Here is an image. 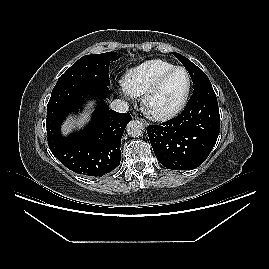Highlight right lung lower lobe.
<instances>
[{"instance_id": "98d812e1", "label": "right lung lower lobe", "mask_w": 269, "mask_h": 269, "mask_svg": "<svg viewBox=\"0 0 269 269\" xmlns=\"http://www.w3.org/2000/svg\"><path fill=\"white\" fill-rule=\"evenodd\" d=\"M108 86L97 83L67 81L56 84L47 105L48 146L68 169L82 175L102 177L120 164L121 137L132 120L129 113H118L102 101L87 129L67 138L60 126L71 111H78L84 95L105 98Z\"/></svg>"}]
</instances>
